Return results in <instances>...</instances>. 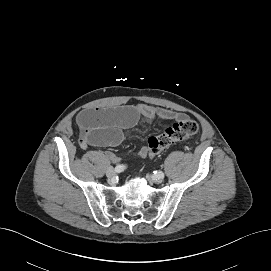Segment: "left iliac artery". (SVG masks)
I'll use <instances>...</instances> for the list:
<instances>
[{"label":"left iliac artery","mask_w":271,"mask_h":271,"mask_svg":"<svg viewBox=\"0 0 271 271\" xmlns=\"http://www.w3.org/2000/svg\"><path fill=\"white\" fill-rule=\"evenodd\" d=\"M155 174L156 176L164 177V173L162 171H156Z\"/></svg>","instance_id":"obj_1"}]
</instances>
